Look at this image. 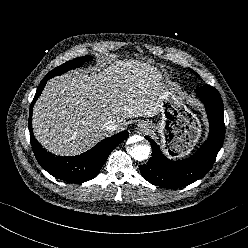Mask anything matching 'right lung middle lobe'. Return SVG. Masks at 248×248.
<instances>
[{
  "instance_id": "right-lung-middle-lobe-1",
  "label": "right lung middle lobe",
  "mask_w": 248,
  "mask_h": 248,
  "mask_svg": "<svg viewBox=\"0 0 248 248\" xmlns=\"http://www.w3.org/2000/svg\"><path fill=\"white\" fill-rule=\"evenodd\" d=\"M91 59V57L89 56H84V57H80L74 60H70L66 63H64L63 65L53 69L51 72L48 73V75L53 76H57V75H61L69 70L75 69L77 67H80L84 64V62L89 61Z\"/></svg>"
}]
</instances>
